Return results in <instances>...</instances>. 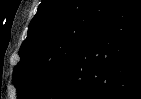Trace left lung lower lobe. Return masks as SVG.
Listing matches in <instances>:
<instances>
[{"label":"left lung lower lobe","mask_w":141,"mask_h":99,"mask_svg":"<svg viewBox=\"0 0 141 99\" xmlns=\"http://www.w3.org/2000/svg\"><path fill=\"white\" fill-rule=\"evenodd\" d=\"M141 99V0H121L38 99Z\"/></svg>","instance_id":"left-lung-lower-lobe-1"}]
</instances>
